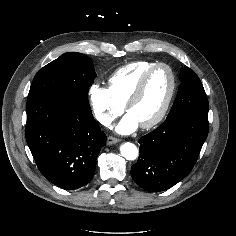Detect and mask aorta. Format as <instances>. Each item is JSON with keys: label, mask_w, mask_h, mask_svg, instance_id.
<instances>
[{"label": "aorta", "mask_w": 236, "mask_h": 236, "mask_svg": "<svg viewBox=\"0 0 236 236\" xmlns=\"http://www.w3.org/2000/svg\"><path fill=\"white\" fill-rule=\"evenodd\" d=\"M120 152L121 155L126 159V160H135L138 157V149L137 147L130 142L124 143L120 147Z\"/></svg>", "instance_id": "762f6f07"}]
</instances>
